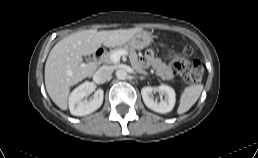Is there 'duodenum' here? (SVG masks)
Instances as JSON below:
<instances>
[{
	"label": "duodenum",
	"mask_w": 258,
	"mask_h": 158,
	"mask_svg": "<svg viewBox=\"0 0 258 158\" xmlns=\"http://www.w3.org/2000/svg\"><path fill=\"white\" fill-rule=\"evenodd\" d=\"M105 53V50L103 47H98L95 49L94 53H93V60L95 63H98L101 58L103 57Z\"/></svg>",
	"instance_id": "obj_1"
}]
</instances>
